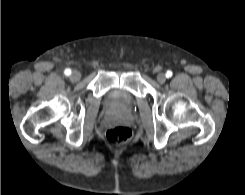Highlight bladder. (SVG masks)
I'll list each match as a JSON object with an SVG mask.
<instances>
[{"label":"bladder","instance_id":"obj_1","mask_svg":"<svg viewBox=\"0 0 245 195\" xmlns=\"http://www.w3.org/2000/svg\"><path fill=\"white\" fill-rule=\"evenodd\" d=\"M112 99L114 101H120L125 105H129L133 103V98L129 94L121 91L114 92L112 94Z\"/></svg>","mask_w":245,"mask_h":195}]
</instances>
